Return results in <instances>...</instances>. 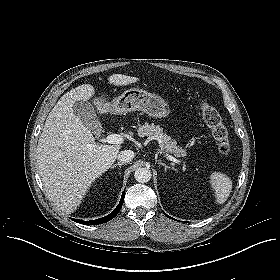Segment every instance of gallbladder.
<instances>
[{"label":"gallbladder","mask_w":280,"mask_h":280,"mask_svg":"<svg viewBox=\"0 0 280 280\" xmlns=\"http://www.w3.org/2000/svg\"><path fill=\"white\" fill-rule=\"evenodd\" d=\"M73 112L84 126L91 130L96 136H100L102 133V125L90 102L84 100L76 101L73 105Z\"/></svg>","instance_id":"gallbladder-1"}]
</instances>
